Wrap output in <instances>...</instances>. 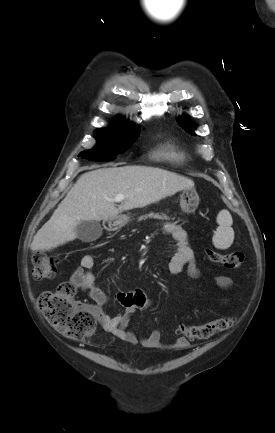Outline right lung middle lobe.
Instances as JSON below:
<instances>
[{"label": "right lung middle lobe", "instance_id": "dd1d6c3e", "mask_svg": "<svg viewBox=\"0 0 275 433\" xmlns=\"http://www.w3.org/2000/svg\"><path fill=\"white\" fill-rule=\"evenodd\" d=\"M137 135L138 128L133 125H117L108 130L99 129L96 133L99 144L81 153L82 157L92 161H112L133 143Z\"/></svg>", "mask_w": 275, "mask_h": 433}]
</instances>
